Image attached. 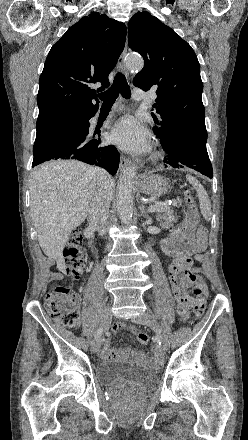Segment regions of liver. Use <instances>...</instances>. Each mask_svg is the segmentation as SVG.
<instances>
[{"instance_id":"obj_1","label":"liver","mask_w":248,"mask_h":440,"mask_svg":"<svg viewBox=\"0 0 248 440\" xmlns=\"http://www.w3.org/2000/svg\"><path fill=\"white\" fill-rule=\"evenodd\" d=\"M94 167L57 160L34 169L30 178V211L44 254L64 272L63 250L71 232L84 222L96 189ZM111 198L113 182L110 186Z\"/></svg>"}]
</instances>
